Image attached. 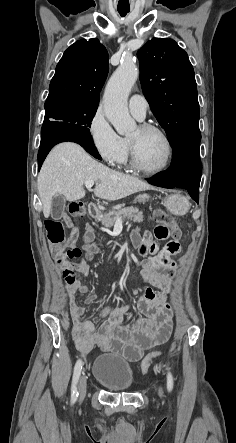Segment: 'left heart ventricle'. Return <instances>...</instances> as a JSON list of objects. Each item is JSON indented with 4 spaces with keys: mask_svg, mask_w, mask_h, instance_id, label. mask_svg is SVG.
Wrapping results in <instances>:
<instances>
[{
    "mask_svg": "<svg viewBox=\"0 0 236 443\" xmlns=\"http://www.w3.org/2000/svg\"><path fill=\"white\" fill-rule=\"evenodd\" d=\"M137 147L139 159L143 166L149 169L161 167L168 155V149L163 137L156 132H141L137 127L129 136Z\"/></svg>",
    "mask_w": 236,
    "mask_h": 443,
    "instance_id": "1",
    "label": "left heart ventricle"
}]
</instances>
